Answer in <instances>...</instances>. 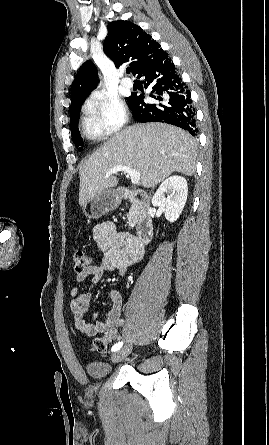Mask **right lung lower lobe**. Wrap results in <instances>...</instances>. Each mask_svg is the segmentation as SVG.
I'll return each instance as SVG.
<instances>
[{"instance_id":"1","label":"right lung lower lobe","mask_w":269,"mask_h":445,"mask_svg":"<svg viewBox=\"0 0 269 445\" xmlns=\"http://www.w3.org/2000/svg\"><path fill=\"white\" fill-rule=\"evenodd\" d=\"M144 77V87L152 86L150 97L155 103H145L143 96L132 94L129 105L138 122H165L187 130L196 136L198 127L190 93L166 53L148 64L139 74Z\"/></svg>"}]
</instances>
